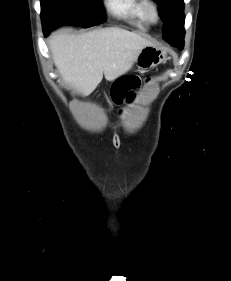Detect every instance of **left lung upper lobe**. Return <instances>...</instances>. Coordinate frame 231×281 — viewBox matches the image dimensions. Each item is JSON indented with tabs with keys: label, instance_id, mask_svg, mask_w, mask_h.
<instances>
[{
	"label": "left lung upper lobe",
	"instance_id": "left-lung-upper-lobe-1",
	"mask_svg": "<svg viewBox=\"0 0 231 281\" xmlns=\"http://www.w3.org/2000/svg\"><path fill=\"white\" fill-rule=\"evenodd\" d=\"M159 5V13L164 22L163 37L171 43L169 36L173 31H183V0H154Z\"/></svg>",
	"mask_w": 231,
	"mask_h": 281
}]
</instances>
